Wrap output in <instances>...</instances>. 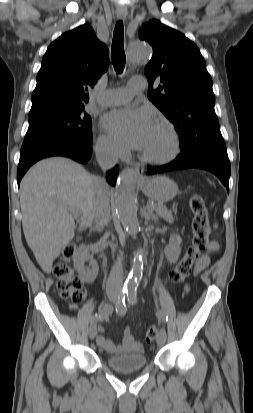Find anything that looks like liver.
<instances>
[{"label": "liver", "mask_w": 253, "mask_h": 413, "mask_svg": "<svg viewBox=\"0 0 253 413\" xmlns=\"http://www.w3.org/2000/svg\"><path fill=\"white\" fill-rule=\"evenodd\" d=\"M95 180L80 164L63 157L41 160L20 184L22 226L28 246L44 272L74 237L73 210L80 227L94 221Z\"/></svg>", "instance_id": "1"}]
</instances>
